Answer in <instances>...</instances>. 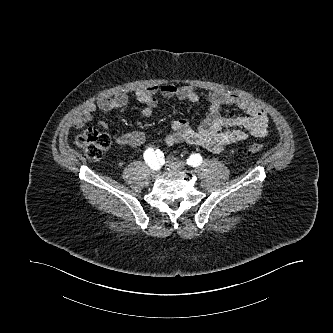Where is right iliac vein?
Listing matches in <instances>:
<instances>
[{
    "instance_id": "1",
    "label": "right iliac vein",
    "mask_w": 333,
    "mask_h": 333,
    "mask_svg": "<svg viewBox=\"0 0 333 333\" xmlns=\"http://www.w3.org/2000/svg\"><path fill=\"white\" fill-rule=\"evenodd\" d=\"M157 172H158V169H153V170H152V173H153V174H157Z\"/></svg>"
}]
</instances>
